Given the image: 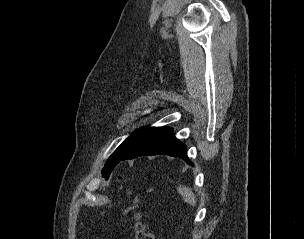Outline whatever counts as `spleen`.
I'll return each instance as SVG.
<instances>
[{
    "instance_id": "obj_1",
    "label": "spleen",
    "mask_w": 304,
    "mask_h": 239,
    "mask_svg": "<svg viewBox=\"0 0 304 239\" xmlns=\"http://www.w3.org/2000/svg\"><path fill=\"white\" fill-rule=\"evenodd\" d=\"M177 191L181 194L183 200L186 203H188L192 206H196V197L190 188H188L186 186H179L177 188Z\"/></svg>"
}]
</instances>
